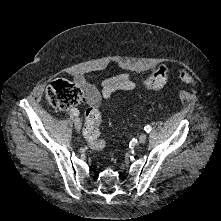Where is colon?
<instances>
[{
    "instance_id": "5ec220e1",
    "label": "colon",
    "mask_w": 221,
    "mask_h": 221,
    "mask_svg": "<svg viewBox=\"0 0 221 221\" xmlns=\"http://www.w3.org/2000/svg\"><path fill=\"white\" fill-rule=\"evenodd\" d=\"M181 78L187 83L193 82L191 72L186 68L180 69ZM168 78V68L159 66L149 77L144 80V86L150 90L162 89ZM48 102L57 108L65 109L78 105L83 100L82 90L75 84L58 79L53 81L46 90ZM101 113L97 107L91 106L85 112L84 136L89 147L98 151L104 148L105 142L100 138Z\"/></svg>"
}]
</instances>
